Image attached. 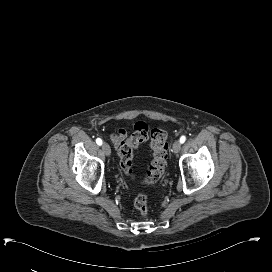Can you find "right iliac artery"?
I'll return each mask as SVG.
<instances>
[{
    "label": "right iliac artery",
    "mask_w": 272,
    "mask_h": 272,
    "mask_svg": "<svg viewBox=\"0 0 272 272\" xmlns=\"http://www.w3.org/2000/svg\"><path fill=\"white\" fill-rule=\"evenodd\" d=\"M96 143L100 146V145H102V140L100 138H97Z\"/></svg>",
    "instance_id": "1"
}]
</instances>
